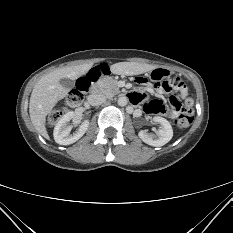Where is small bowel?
Instances as JSON below:
<instances>
[{
	"instance_id": "obj_1",
	"label": "small bowel",
	"mask_w": 233,
	"mask_h": 233,
	"mask_svg": "<svg viewBox=\"0 0 233 233\" xmlns=\"http://www.w3.org/2000/svg\"><path fill=\"white\" fill-rule=\"evenodd\" d=\"M172 88H174L175 90L178 91V95L180 96L181 99H185L187 96V88L185 83L181 80L180 84H174L171 86ZM148 90V88H144L142 91H138V92H134L131 94V100L135 103L141 101L144 96H145V92ZM157 91L159 93H165L166 91H168V89L162 88V87H158ZM144 110L146 113H152L151 110L148 108V104L145 105ZM141 113V111L139 109L135 110V114L139 115Z\"/></svg>"
}]
</instances>
